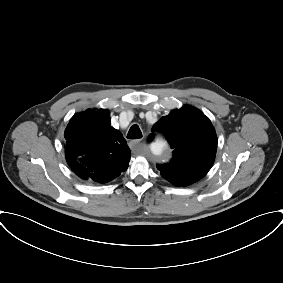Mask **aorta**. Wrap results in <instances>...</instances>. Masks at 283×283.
I'll list each match as a JSON object with an SVG mask.
<instances>
[{
    "instance_id": "1",
    "label": "aorta",
    "mask_w": 283,
    "mask_h": 283,
    "mask_svg": "<svg viewBox=\"0 0 283 283\" xmlns=\"http://www.w3.org/2000/svg\"><path fill=\"white\" fill-rule=\"evenodd\" d=\"M166 143L163 141H156L151 145V152L157 158H163L165 155Z\"/></svg>"
}]
</instances>
